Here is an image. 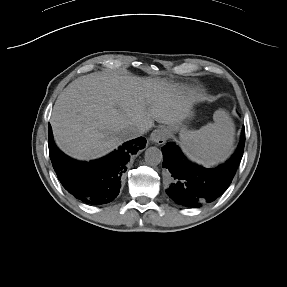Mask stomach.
<instances>
[{"instance_id": "obj_1", "label": "stomach", "mask_w": 287, "mask_h": 287, "mask_svg": "<svg viewBox=\"0 0 287 287\" xmlns=\"http://www.w3.org/2000/svg\"><path fill=\"white\" fill-rule=\"evenodd\" d=\"M192 116V112L189 111L187 117H191ZM182 132L184 130H186V127L184 125H182V123H178V124H175V125H169L167 127V131L169 134H174L175 132L179 131Z\"/></svg>"}]
</instances>
